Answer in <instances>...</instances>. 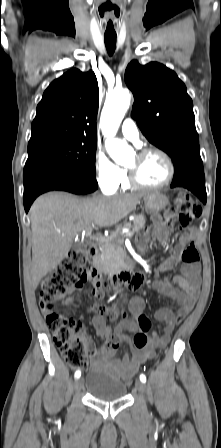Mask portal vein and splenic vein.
Wrapping results in <instances>:
<instances>
[{
	"label": "portal vein and splenic vein",
	"mask_w": 221,
	"mask_h": 448,
	"mask_svg": "<svg viewBox=\"0 0 221 448\" xmlns=\"http://www.w3.org/2000/svg\"><path fill=\"white\" fill-rule=\"evenodd\" d=\"M132 235H133V231H127L124 234V237H131ZM88 236L90 237V239H96L97 241H106L107 240V239L105 240L102 237H92L90 232H88Z\"/></svg>",
	"instance_id": "obj_1"
}]
</instances>
